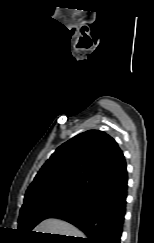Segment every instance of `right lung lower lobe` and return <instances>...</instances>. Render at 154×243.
Here are the masks:
<instances>
[{
	"instance_id": "1",
	"label": "right lung lower lobe",
	"mask_w": 154,
	"mask_h": 243,
	"mask_svg": "<svg viewBox=\"0 0 154 243\" xmlns=\"http://www.w3.org/2000/svg\"><path fill=\"white\" fill-rule=\"evenodd\" d=\"M127 171L90 195L85 204L59 213L53 218L65 220L87 238L77 243H120L126 211Z\"/></svg>"
}]
</instances>
